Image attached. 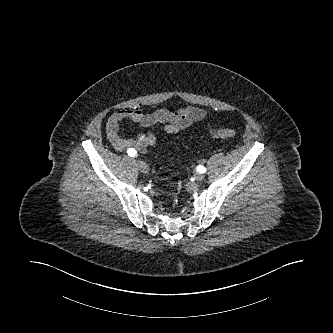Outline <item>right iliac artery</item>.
I'll return each mask as SVG.
<instances>
[{
  "instance_id": "obj_1",
  "label": "right iliac artery",
  "mask_w": 333,
  "mask_h": 333,
  "mask_svg": "<svg viewBox=\"0 0 333 333\" xmlns=\"http://www.w3.org/2000/svg\"><path fill=\"white\" fill-rule=\"evenodd\" d=\"M127 154L130 156V157H134V156H137V151L135 149H128L127 150Z\"/></svg>"
}]
</instances>
